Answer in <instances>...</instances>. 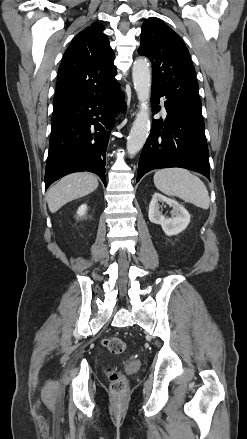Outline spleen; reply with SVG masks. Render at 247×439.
Here are the masks:
<instances>
[{"label": "spleen", "mask_w": 247, "mask_h": 439, "mask_svg": "<svg viewBox=\"0 0 247 439\" xmlns=\"http://www.w3.org/2000/svg\"><path fill=\"white\" fill-rule=\"evenodd\" d=\"M154 184L162 193L176 196L195 206L207 210L210 199L205 184L190 171L182 168L158 170Z\"/></svg>", "instance_id": "spleen-1"}]
</instances>
